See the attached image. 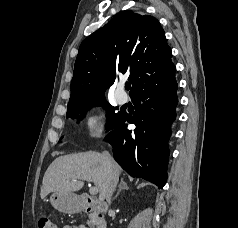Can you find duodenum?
I'll list each match as a JSON object with an SVG mask.
<instances>
[{"label": "duodenum", "mask_w": 238, "mask_h": 228, "mask_svg": "<svg viewBox=\"0 0 238 228\" xmlns=\"http://www.w3.org/2000/svg\"><path fill=\"white\" fill-rule=\"evenodd\" d=\"M77 209L92 214L95 228H106L104 214L107 212V206L104 203L90 196L80 195L77 199Z\"/></svg>", "instance_id": "duodenum-1"}]
</instances>
